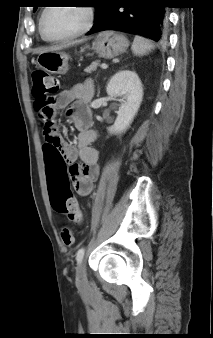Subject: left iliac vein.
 I'll list each match as a JSON object with an SVG mask.
<instances>
[{"instance_id":"left-iliac-vein-1","label":"left iliac vein","mask_w":213,"mask_h":338,"mask_svg":"<svg viewBox=\"0 0 213 338\" xmlns=\"http://www.w3.org/2000/svg\"><path fill=\"white\" fill-rule=\"evenodd\" d=\"M76 280L78 282H83L86 280V270L84 262L79 263L76 268Z\"/></svg>"}]
</instances>
